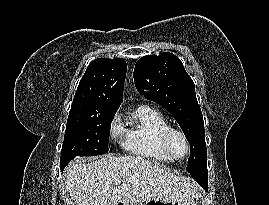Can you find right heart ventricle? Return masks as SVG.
I'll return each mask as SVG.
<instances>
[{"mask_svg": "<svg viewBox=\"0 0 269 205\" xmlns=\"http://www.w3.org/2000/svg\"><path fill=\"white\" fill-rule=\"evenodd\" d=\"M167 118L158 110L143 105L134 115L132 125L126 130V138L123 144L126 152L134 157L158 162L170 163V159L159 146V135L167 128Z\"/></svg>", "mask_w": 269, "mask_h": 205, "instance_id": "1", "label": "right heart ventricle"}]
</instances>
